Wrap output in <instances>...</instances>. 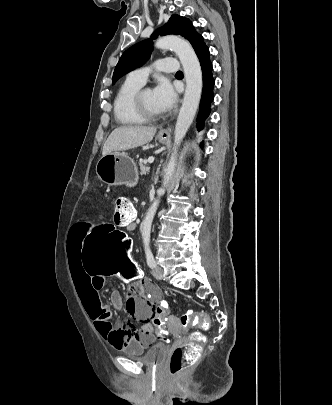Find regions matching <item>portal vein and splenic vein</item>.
<instances>
[{"label":"portal vein and splenic vein","mask_w":332,"mask_h":405,"mask_svg":"<svg viewBox=\"0 0 332 405\" xmlns=\"http://www.w3.org/2000/svg\"><path fill=\"white\" fill-rule=\"evenodd\" d=\"M148 162H149V163H153V162H154V157H150V158L148 159Z\"/></svg>","instance_id":"portal-vein-and-splenic-vein-1"}]
</instances>
